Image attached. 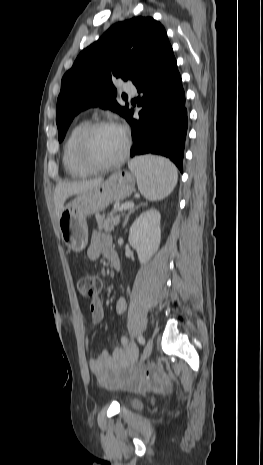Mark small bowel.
<instances>
[{
    "instance_id": "c3829d8e",
    "label": "small bowel",
    "mask_w": 263,
    "mask_h": 465,
    "mask_svg": "<svg viewBox=\"0 0 263 465\" xmlns=\"http://www.w3.org/2000/svg\"><path fill=\"white\" fill-rule=\"evenodd\" d=\"M112 252H115L112 238L106 233L95 231L91 238V243L87 249V257L91 261H97L102 256L109 259ZM127 309L125 298L119 297L115 303L117 315H122ZM90 318L93 324H98L104 317V308L100 299H95L89 305ZM89 344V339L86 340ZM136 356V350L129 341L121 338V345L114 349L112 354L101 350L93 354L90 358V368L98 381L109 389L126 387L133 389H145L151 387L160 390L165 377L158 370L142 371L133 370L132 363Z\"/></svg>"
}]
</instances>
